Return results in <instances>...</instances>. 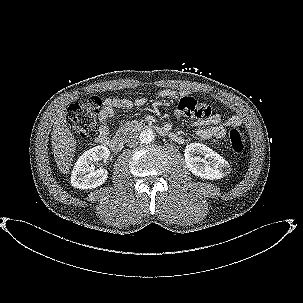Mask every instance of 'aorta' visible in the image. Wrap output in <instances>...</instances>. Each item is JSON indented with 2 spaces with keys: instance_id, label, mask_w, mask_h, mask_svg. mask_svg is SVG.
Wrapping results in <instances>:
<instances>
[{
  "instance_id": "1",
  "label": "aorta",
  "mask_w": 303,
  "mask_h": 303,
  "mask_svg": "<svg viewBox=\"0 0 303 303\" xmlns=\"http://www.w3.org/2000/svg\"><path fill=\"white\" fill-rule=\"evenodd\" d=\"M139 138L141 142L148 144L155 139V133L152 129H145L140 133Z\"/></svg>"
}]
</instances>
